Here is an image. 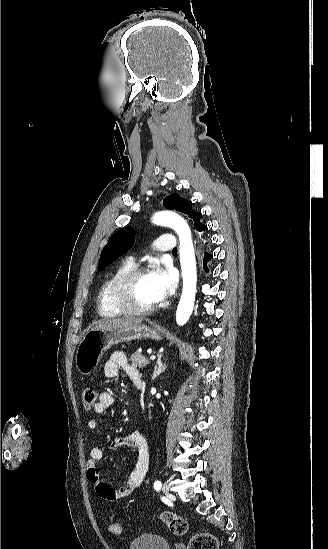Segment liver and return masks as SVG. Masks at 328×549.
Listing matches in <instances>:
<instances>
[{
    "label": "liver",
    "instance_id": "obj_1",
    "mask_svg": "<svg viewBox=\"0 0 328 549\" xmlns=\"http://www.w3.org/2000/svg\"><path fill=\"white\" fill-rule=\"evenodd\" d=\"M141 319H129V317H121V319H102L99 323H95L93 329H105V327H133L140 325Z\"/></svg>",
    "mask_w": 328,
    "mask_h": 549
}]
</instances>
